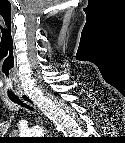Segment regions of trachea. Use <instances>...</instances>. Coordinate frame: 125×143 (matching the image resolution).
<instances>
[{
  "label": "trachea",
  "instance_id": "obj_1",
  "mask_svg": "<svg viewBox=\"0 0 125 143\" xmlns=\"http://www.w3.org/2000/svg\"><path fill=\"white\" fill-rule=\"evenodd\" d=\"M9 97H10V99H11L13 102L18 103V104H21V105H23V106H26V105H24V104L19 100V98H18L17 96H15V95H10ZM29 108H30V107H29Z\"/></svg>",
  "mask_w": 125,
  "mask_h": 143
}]
</instances>
